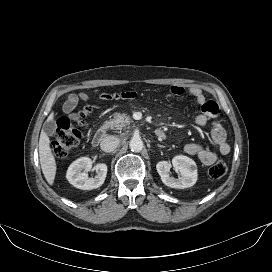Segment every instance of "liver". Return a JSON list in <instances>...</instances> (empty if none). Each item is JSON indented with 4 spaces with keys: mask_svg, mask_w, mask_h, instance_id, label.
I'll return each instance as SVG.
<instances>
[{
    "mask_svg": "<svg viewBox=\"0 0 272 272\" xmlns=\"http://www.w3.org/2000/svg\"><path fill=\"white\" fill-rule=\"evenodd\" d=\"M53 118L54 113L52 112L48 117V121H52ZM39 158L41 169L45 176V179L50 185H53L56 176L57 166L52 150L50 148L49 137L44 130L41 131L39 139Z\"/></svg>",
    "mask_w": 272,
    "mask_h": 272,
    "instance_id": "liver-1",
    "label": "liver"
}]
</instances>
